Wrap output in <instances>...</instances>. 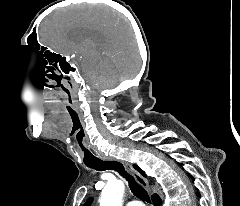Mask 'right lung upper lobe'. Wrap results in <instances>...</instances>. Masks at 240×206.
<instances>
[{
    "instance_id": "right-lung-upper-lobe-1",
    "label": "right lung upper lobe",
    "mask_w": 240,
    "mask_h": 206,
    "mask_svg": "<svg viewBox=\"0 0 240 206\" xmlns=\"http://www.w3.org/2000/svg\"><path fill=\"white\" fill-rule=\"evenodd\" d=\"M133 166H134V168H135L136 170H138L143 176H145V174L143 173V171H142L137 165H133ZM91 203H92V198H89V199L86 201V203L84 204V206H90Z\"/></svg>"
}]
</instances>
